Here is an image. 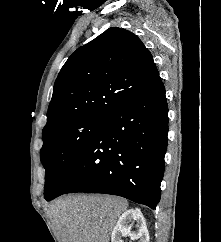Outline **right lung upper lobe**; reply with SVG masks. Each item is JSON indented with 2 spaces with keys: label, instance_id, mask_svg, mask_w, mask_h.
I'll return each mask as SVG.
<instances>
[{
  "label": "right lung upper lobe",
  "instance_id": "right-lung-upper-lobe-1",
  "mask_svg": "<svg viewBox=\"0 0 221 242\" xmlns=\"http://www.w3.org/2000/svg\"><path fill=\"white\" fill-rule=\"evenodd\" d=\"M158 76L153 57L138 36L109 28L78 48L62 67L43 133L81 118H104Z\"/></svg>",
  "mask_w": 221,
  "mask_h": 242
}]
</instances>
